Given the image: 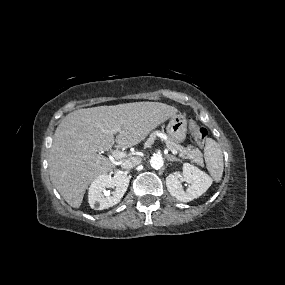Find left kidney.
Instances as JSON below:
<instances>
[{
	"instance_id": "5707ae66",
	"label": "left kidney",
	"mask_w": 285,
	"mask_h": 285,
	"mask_svg": "<svg viewBox=\"0 0 285 285\" xmlns=\"http://www.w3.org/2000/svg\"><path fill=\"white\" fill-rule=\"evenodd\" d=\"M190 183L187 190H183L182 182ZM211 178L198 168L188 163L183 165V172H173L166 177V186L171 194L181 202H189L198 198L211 186Z\"/></svg>"
}]
</instances>
